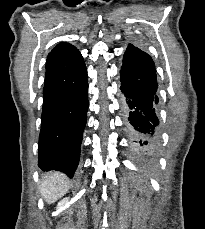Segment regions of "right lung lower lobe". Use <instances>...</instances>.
I'll list each match as a JSON object with an SVG mask.
<instances>
[{
	"label": "right lung lower lobe",
	"mask_w": 205,
	"mask_h": 229,
	"mask_svg": "<svg viewBox=\"0 0 205 229\" xmlns=\"http://www.w3.org/2000/svg\"><path fill=\"white\" fill-rule=\"evenodd\" d=\"M53 50L46 61L38 166L71 178L79 163L87 119V70L83 59L69 66Z\"/></svg>",
	"instance_id": "obj_1"
}]
</instances>
